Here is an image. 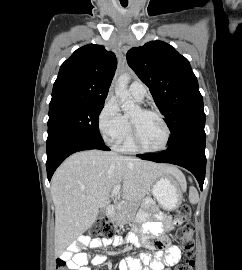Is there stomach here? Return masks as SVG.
<instances>
[{
	"label": "stomach",
	"mask_w": 242,
	"mask_h": 270,
	"mask_svg": "<svg viewBox=\"0 0 242 270\" xmlns=\"http://www.w3.org/2000/svg\"><path fill=\"white\" fill-rule=\"evenodd\" d=\"M186 183L171 175H163L152 186V194L163 209L171 211L179 207Z\"/></svg>",
	"instance_id": "0dacf381"
}]
</instances>
